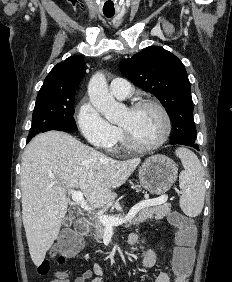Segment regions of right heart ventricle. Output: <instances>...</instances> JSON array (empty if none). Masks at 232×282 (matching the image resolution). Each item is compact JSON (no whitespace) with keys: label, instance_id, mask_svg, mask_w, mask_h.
Returning <instances> with one entry per match:
<instances>
[{"label":"right heart ventricle","instance_id":"right-heart-ventricle-1","mask_svg":"<svg viewBox=\"0 0 232 282\" xmlns=\"http://www.w3.org/2000/svg\"><path fill=\"white\" fill-rule=\"evenodd\" d=\"M118 141L123 142V138H122V134H121V131H120V130H119V138H118Z\"/></svg>","mask_w":232,"mask_h":282}]
</instances>
